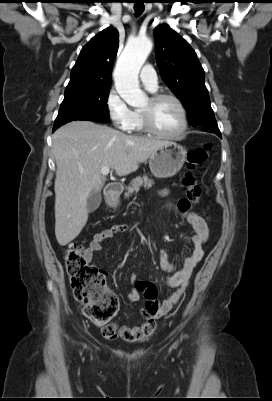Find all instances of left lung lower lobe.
I'll return each instance as SVG.
<instances>
[{
    "label": "left lung lower lobe",
    "instance_id": "1",
    "mask_svg": "<svg viewBox=\"0 0 272 401\" xmlns=\"http://www.w3.org/2000/svg\"><path fill=\"white\" fill-rule=\"evenodd\" d=\"M200 128H201L203 131L212 132V133L217 134L219 137H221V133H220V131H219V129H218L217 123L210 124V125H205V126H201Z\"/></svg>",
    "mask_w": 272,
    "mask_h": 401
}]
</instances>
